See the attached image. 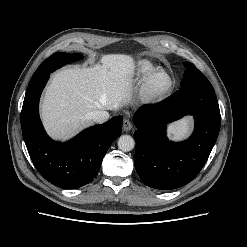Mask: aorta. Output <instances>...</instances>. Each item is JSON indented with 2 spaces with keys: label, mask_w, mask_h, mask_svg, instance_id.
<instances>
[{
  "label": "aorta",
  "mask_w": 247,
  "mask_h": 247,
  "mask_svg": "<svg viewBox=\"0 0 247 247\" xmlns=\"http://www.w3.org/2000/svg\"><path fill=\"white\" fill-rule=\"evenodd\" d=\"M135 146V141L130 135H122L118 139V148L124 152L131 151Z\"/></svg>",
  "instance_id": "aorta-1"
}]
</instances>
